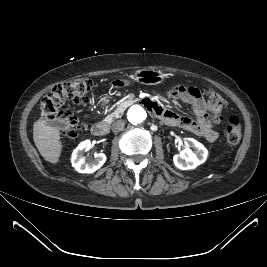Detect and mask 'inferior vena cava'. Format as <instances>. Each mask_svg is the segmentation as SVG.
Wrapping results in <instances>:
<instances>
[{"label":"inferior vena cava","mask_w":267,"mask_h":267,"mask_svg":"<svg viewBox=\"0 0 267 267\" xmlns=\"http://www.w3.org/2000/svg\"><path fill=\"white\" fill-rule=\"evenodd\" d=\"M124 126H125V121L120 119V120L115 121L112 124L111 129L113 132H119V131H122L124 129Z\"/></svg>","instance_id":"1"}]
</instances>
